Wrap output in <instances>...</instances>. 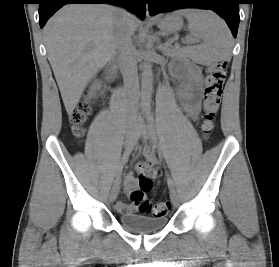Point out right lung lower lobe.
Masks as SVG:
<instances>
[{
	"label": "right lung lower lobe",
	"instance_id": "right-lung-lower-lobe-1",
	"mask_svg": "<svg viewBox=\"0 0 279 267\" xmlns=\"http://www.w3.org/2000/svg\"><path fill=\"white\" fill-rule=\"evenodd\" d=\"M39 23L43 28L47 20L63 5L68 3H107L122 5L140 18L145 16V0H40Z\"/></svg>",
	"mask_w": 279,
	"mask_h": 267
}]
</instances>
